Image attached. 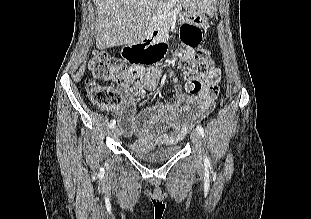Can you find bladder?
<instances>
[{
    "mask_svg": "<svg viewBox=\"0 0 311 219\" xmlns=\"http://www.w3.org/2000/svg\"><path fill=\"white\" fill-rule=\"evenodd\" d=\"M127 149L130 153L140 159L150 162H157L171 159L177 155L180 151V146L170 144L163 147L154 148L149 143L135 141L127 144Z\"/></svg>",
    "mask_w": 311,
    "mask_h": 219,
    "instance_id": "bladder-1",
    "label": "bladder"
}]
</instances>
